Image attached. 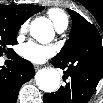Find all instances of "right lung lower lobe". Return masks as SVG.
<instances>
[{
    "label": "right lung lower lobe",
    "instance_id": "98d812e1",
    "mask_svg": "<svg viewBox=\"0 0 103 103\" xmlns=\"http://www.w3.org/2000/svg\"><path fill=\"white\" fill-rule=\"evenodd\" d=\"M13 58L12 67L0 69V103H15L21 86L35 74L32 63L17 54Z\"/></svg>",
    "mask_w": 103,
    "mask_h": 103
}]
</instances>
